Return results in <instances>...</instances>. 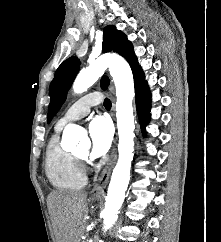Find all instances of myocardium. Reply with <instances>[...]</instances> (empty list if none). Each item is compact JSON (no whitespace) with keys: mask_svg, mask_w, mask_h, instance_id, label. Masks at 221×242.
Here are the masks:
<instances>
[{"mask_svg":"<svg viewBox=\"0 0 221 242\" xmlns=\"http://www.w3.org/2000/svg\"><path fill=\"white\" fill-rule=\"evenodd\" d=\"M76 158L79 162H85L87 160L86 156H79L78 154L76 155Z\"/></svg>","mask_w":221,"mask_h":242,"instance_id":"obj_1","label":"myocardium"}]
</instances>
